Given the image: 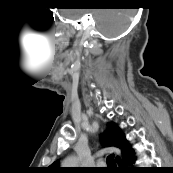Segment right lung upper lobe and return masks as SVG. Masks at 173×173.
Segmentation results:
<instances>
[{
	"instance_id": "cb5924a9",
	"label": "right lung upper lobe",
	"mask_w": 173,
	"mask_h": 173,
	"mask_svg": "<svg viewBox=\"0 0 173 173\" xmlns=\"http://www.w3.org/2000/svg\"><path fill=\"white\" fill-rule=\"evenodd\" d=\"M101 141L107 147L114 146L120 148L123 158L132 151L127 139L114 124H108L106 132L101 135ZM116 161L120 163L118 156L116 157ZM49 170L54 173L61 171L60 167H58V161L50 165Z\"/></svg>"
}]
</instances>
